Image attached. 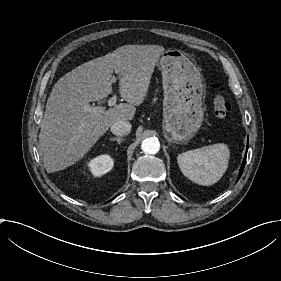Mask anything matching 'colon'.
Instances as JSON below:
<instances>
[{"label":"colon","mask_w":281,"mask_h":281,"mask_svg":"<svg viewBox=\"0 0 281 281\" xmlns=\"http://www.w3.org/2000/svg\"><path fill=\"white\" fill-rule=\"evenodd\" d=\"M212 111L213 116L217 122H226L229 118L230 105L225 97L220 93L216 92L212 97Z\"/></svg>","instance_id":"colon-1"}]
</instances>
